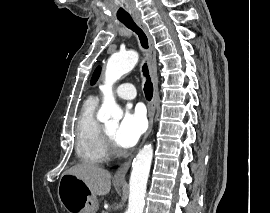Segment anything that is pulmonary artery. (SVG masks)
Wrapping results in <instances>:
<instances>
[{
	"instance_id": "1",
	"label": "pulmonary artery",
	"mask_w": 270,
	"mask_h": 213,
	"mask_svg": "<svg viewBox=\"0 0 270 213\" xmlns=\"http://www.w3.org/2000/svg\"><path fill=\"white\" fill-rule=\"evenodd\" d=\"M116 95L125 100H134L136 98V89L134 85L130 83H124L118 86ZM99 96L96 98L98 99Z\"/></svg>"
}]
</instances>
